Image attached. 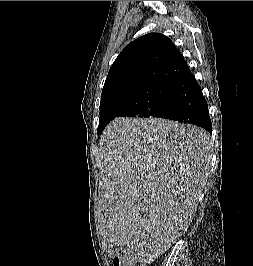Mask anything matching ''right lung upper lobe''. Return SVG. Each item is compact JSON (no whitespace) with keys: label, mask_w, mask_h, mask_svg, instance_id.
<instances>
[{"label":"right lung upper lobe","mask_w":253,"mask_h":266,"mask_svg":"<svg viewBox=\"0 0 253 266\" xmlns=\"http://www.w3.org/2000/svg\"><path fill=\"white\" fill-rule=\"evenodd\" d=\"M189 71L169 38L159 33L144 35L126 46L112 64L100 104L148 85L173 84Z\"/></svg>","instance_id":"obj_1"}]
</instances>
